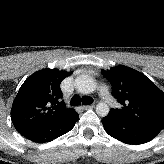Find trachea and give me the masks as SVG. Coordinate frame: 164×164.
Here are the masks:
<instances>
[{"mask_svg":"<svg viewBox=\"0 0 164 164\" xmlns=\"http://www.w3.org/2000/svg\"><path fill=\"white\" fill-rule=\"evenodd\" d=\"M81 102L83 105H90L93 102V99L91 97H88V96H84V97L80 98L78 95H74L71 98V105L72 106L80 105Z\"/></svg>","mask_w":164,"mask_h":164,"instance_id":"3493384b","label":"trachea"}]
</instances>
